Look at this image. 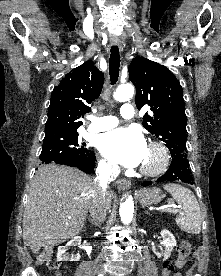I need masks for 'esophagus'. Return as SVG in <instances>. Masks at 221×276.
<instances>
[{
    "instance_id": "34e87169",
    "label": "esophagus",
    "mask_w": 221,
    "mask_h": 276,
    "mask_svg": "<svg viewBox=\"0 0 221 276\" xmlns=\"http://www.w3.org/2000/svg\"><path fill=\"white\" fill-rule=\"evenodd\" d=\"M112 45L120 47L119 42H112ZM117 187L119 190H128L130 188V181L125 178H121L117 181Z\"/></svg>"
}]
</instances>
